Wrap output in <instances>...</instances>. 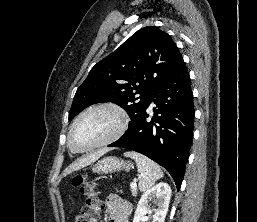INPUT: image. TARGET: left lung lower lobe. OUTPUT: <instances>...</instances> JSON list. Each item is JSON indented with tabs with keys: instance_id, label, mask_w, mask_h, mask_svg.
<instances>
[{
	"instance_id": "obj_1",
	"label": "left lung lower lobe",
	"mask_w": 257,
	"mask_h": 222,
	"mask_svg": "<svg viewBox=\"0 0 257 222\" xmlns=\"http://www.w3.org/2000/svg\"><path fill=\"white\" fill-rule=\"evenodd\" d=\"M152 101L157 109L148 121L146 110ZM194 112L190 76L182 60L156 88L123 136L108 146L149 157L170 173L179 191L192 144Z\"/></svg>"
}]
</instances>
